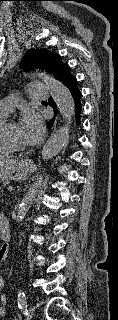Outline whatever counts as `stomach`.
<instances>
[{
    "mask_svg": "<svg viewBox=\"0 0 118 320\" xmlns=\"http://www.w3.org/2000/svg\"><path fill=\"white\" fill-rule=\"evenodd\" d=\"M34 165L29 160H19L0 168V182L13 180L22 181L28 178Z\"/></svg>",
    "mask_w": 118,
    "mask_h": 320,
    "instance_id": "1",
    "label": "stomach"
}]
</instances>
